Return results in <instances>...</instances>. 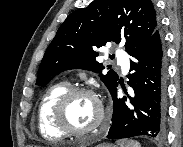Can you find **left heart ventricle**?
I'll use <instances>...</instances> for the list:
<instances>
[{
	"label": "left heart ventricle",
	"instance_id": "b2bd125f",
	"mask_svg": "<svg viewBox=\"0 0 183 147\" xmlns=\"http://www.w3.org/2000/svg\"><path fill=\"white\" fill-rule=\"evenodd\" d=\"M98 108L95 101L87 95L74 97L67 108V118L70 125L83 130L90 127L97 119Z\"/></svg>",
	"mask_w": 183,
	"mask_h": 147
}]
</instances>
